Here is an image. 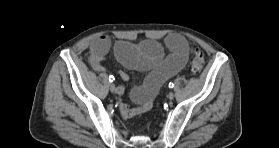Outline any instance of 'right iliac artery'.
Instances as JSON below:
<instances>
[{
	"label": "right iliac artery",
	"mask_w": 279,
	"mask_h": 148,
	"mask_svg": "<svg viewBox=\"0 0 279 148\" xmlns=\"http://www.w3.org/2000/svg\"><path fill=\"white\" fill-rule=\"evenodd\" d=\"M114 80H115L114 76H113V75H110V76H109V81H110V82H113ZM119 90L122 92V88H120Z\"/></svg>",
	"instance_id": "82829eb1"
}]
</instances>
